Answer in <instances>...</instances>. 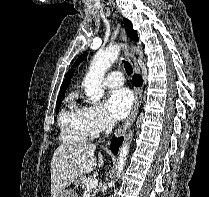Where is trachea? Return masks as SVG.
Wrapping results in <instances>:
<instances>
[{
  "mask_svg": "<svg viewBox=\"0 0 209 197\" xmlns=\"http://www.w3.org/2000/svg\"><path fill=\"white\" fill-rule=\"evenodd\" d=\"M123 64H124V68H125V70H126V73H127L128 75H131V74L133 73V68H132V66L129 64V62H127V61H125V60H123Z\"/></svg>",
  "mask_w": 209,
  "mask_h": 197,
  "instance_id": "1",
  "label": "trachea"
}]
</instances>
